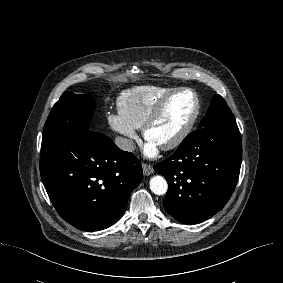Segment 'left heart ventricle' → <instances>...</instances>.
<instances>
[{"mask_svg": "<svg viewBox=\"0 0 283 283\" xmlns=\"http://www.w3.org/2000/svg\"><path fill=\"white\" fill-rule=\"evenodd\" d=\"M195 107L191 94H179L166 106L148 133V139L158 146L172 139L185 125Z\"/></svg>", "mask_w": 283, "mask_h": 283, "instance_id": "left-heart-ventricle-1", "label": "left heart ventricle"}]
</instances>
